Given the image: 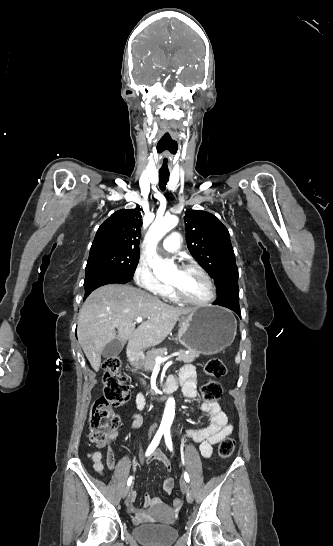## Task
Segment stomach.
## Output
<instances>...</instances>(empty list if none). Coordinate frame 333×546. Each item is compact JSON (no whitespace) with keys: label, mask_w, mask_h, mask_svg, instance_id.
Instances as JSON below:
<instances>
[{"label":"stomach","mask_w":333,"mask_h":546,"mask_svg":"<svg viewBox=\"0 0 333 546\" xmlns=\"http://www.w3.org/2000/svg\"><path fill=\"white\" fill-rule=\"evenodd\" d=\"M236 328V319L227 309L219 306L198 308L181 319L178 340L198 355H215L233 343ZM132 364L135 368L140 366L138 361Z\"/></svg>","instance_id":"1"}]
</instances>
